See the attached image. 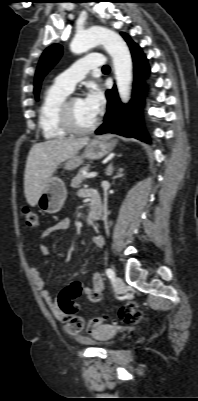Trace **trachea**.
Here are the masks:
<instances>
[{"instance_id": "obj_1", "label": "trachea", "mask_w": 198, "mask_h": 401, "mask_svg": "<svg viewBox=\"0 0 198 401\" xmlns=\"http://www.w3.org/2000/svg\"><path fill=\"white\" fill-rule=\"evenodd\" d=\"M102 70L107 71V70H110V68H109V66L105 65Z\"/></svg>"}]
</instances>
